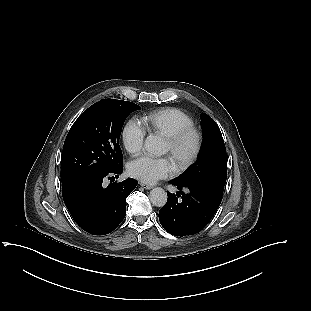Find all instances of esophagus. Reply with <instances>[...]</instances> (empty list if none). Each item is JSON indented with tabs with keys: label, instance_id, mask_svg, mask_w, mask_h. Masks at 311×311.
I'll return each mask as SVG.
<instances>
[{
	"label": "esophagus",
	"instance_id": "34e87169",
	"mask_svg": "<svg viewBox=\"0 0 311 311\" xmlns=\"http://www.w3.org/2000/svg\"><path fill=\"white\" fill-rule=\"evenodd\" d=\"M140 185H141V187H143L144 189H147V190L153 188L152 185H149V184H146V183H143V182H141Z\"/></svg>",
	"mask_w": 311,
	"mask_h": 311
}]
</instances>
